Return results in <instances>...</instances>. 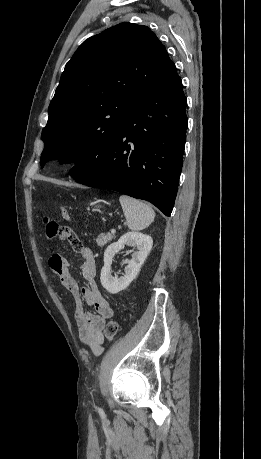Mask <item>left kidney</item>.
I'll return each instance as SVG.
<instances>
[{
  "label": "left kidney",
  "mask_w": 261,
  "mask_h": 459,
  "mask_svg": "<svg viewBox=\"0 0 261 459\" xmlns=\"http://www.w3.org/2000/svg\"><path fill=\"white\" fill-rule=\"evenodd\" d=\"M125 245L136 247L137 251L130 250L127 254L133 252L132 259L125 260V274L121 277H113L111 274V264L114 256L124 248ZM153 245L151 236L140 232H127L120 239L107 247L104 252V266L101 269V284L111 294H117L126 289L129 284L136 278L140 268L146 260Z\"/></svg>",
  "instance_id": "left-kidney-1"
}]
</instances>
